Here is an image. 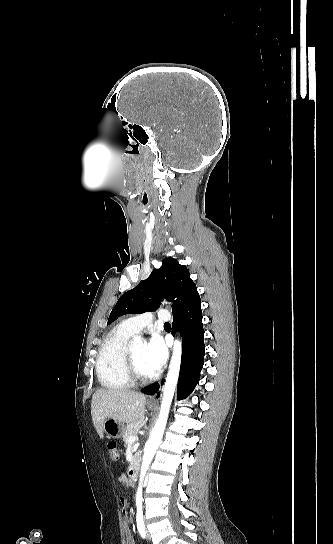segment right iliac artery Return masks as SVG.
<instances>
[{"instance_id": "right-iliac-artery-1", "label": "right iliac artery", "mask_w": 333, "mask_h": 544, "mask_svg": "<svg viewBox=\"0 0 333 544\" xmlns=\"http://www.w3.org/2000/svg\"><path fill=\"white\" fill-rule=\"evenodd\" d=\"M136 520H137V529L139 531V534L141 535L142 538H145L146 530H145V525L143 520V514L137 513Z\"/></svg>"}]
</instances>
